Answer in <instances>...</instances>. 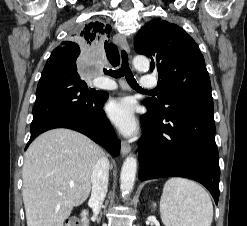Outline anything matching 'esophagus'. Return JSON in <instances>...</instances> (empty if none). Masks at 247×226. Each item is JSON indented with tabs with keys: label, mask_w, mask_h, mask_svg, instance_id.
Masks as SVG:
<instances>
[{
	"label": "esophagus",
	"mask_w": 247,
	"mask_h": 226,
	"mask_svg": "<svg viewBox=\"0 0 247 226\" xmlns=\"http://www.w3.org/2000/svg\"><path fill=\"white\" fill-rule=\"evenodd\" d=\"M115 41L120 48L124 49L127 53L130 52L129 44L127 42V38L125 35L120 33L116 34ZM130 150H131L130 145H128L125 141H122L121 143L122 156H126L130 152Z\"/></svg>",
	"instance_id": "34e87169"
}]
</instances>
